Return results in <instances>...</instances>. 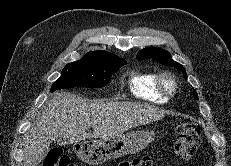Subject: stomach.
Here are the masks:
<instances>
[{
    "instance_id": "stomach-1",
    "label": "stomach",
    "mask_w": 231,
    "mask_h": 166,
    "mask_svg": "<svg viewBox=\"0 0 231 166\" xmlns=\"http://www.w3.org/2000/svg\"><path fill=\"white\" fill-rule=\"evenodd\" d=\"M152 131H132L116 139H88L74 143L73 150L85 163L98 165L142 151L153 140Z\"/></svg>"
}]
</instances>
